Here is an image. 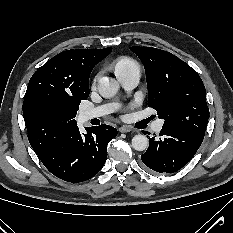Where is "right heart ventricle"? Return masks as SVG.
<instances>
[{
    "label": "right heart ventricle",
    "mask_w": 233,
    "mask_h": 233,
    "mask_svg": "<svg viewBox=\"0 0 233 233\" xmlns=\"http://www.w3.org/2000/svg\"><path fill=\"white\" fill-rule=\"evenodd\" d=\"M112 69L114 70L115 74L118 75L119 73L129 70L134 67H138L137 63L128 57H120L117 58L111 65Z\"/></svg>",
    "instance_id": "1"
}]
</instances>
